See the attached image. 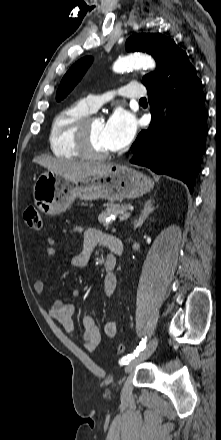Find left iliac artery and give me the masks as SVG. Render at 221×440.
Wrapping results in <instances>:
<instances>
[{
	"mask_svg": "<svg viewBox=\"0 0 221 440\" xmlns=\"http://www.w3.org/2000/svg\"><path fill=\"white\" fill-rule=\"evenodd\" d=\"M146 347V338L142 339V341L140 342V345L136 348V350L133 352V354H129L125 357H123L119 363L120 364H128L131 360H133L135 357H137L140 353V351L144 350V348Z\"/></svg>",
	"mask_w": 221,
	"mask_h": 440,
	"instance_id": "obj_1",
	"label": "left iliac artery"
}]
</instances>
